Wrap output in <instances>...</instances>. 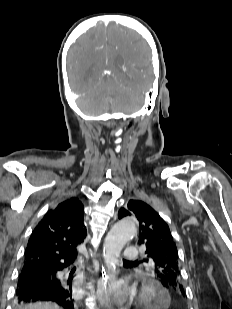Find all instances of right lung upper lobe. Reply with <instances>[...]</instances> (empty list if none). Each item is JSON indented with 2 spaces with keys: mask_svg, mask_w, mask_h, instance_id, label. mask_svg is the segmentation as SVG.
<instances>
[{
  "mask_svg": "<svg viewBox=\"0 0 232 309\" xmlns=\"http://www.w3.org/2000/svg\"><path fill=\"white\" fill-rule=\"evenodd\" d=\"M82 203L71 198L49 210L33 230L24 253L25 262L39 269L70 265L77 257V245L87 234Z\"/></svg>",
  "mask_w": 232,
  "mask_h": 309,
  "instance_id": "cb5924a9",
  "label": "right lung upper lobe"
}]
</instances>
